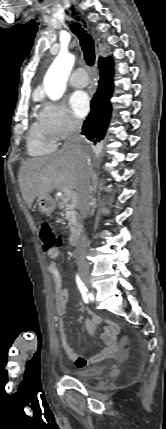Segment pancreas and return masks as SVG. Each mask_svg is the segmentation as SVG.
Returning <instances> with one entry per match:
<instances>
[{
    "label": "pancreas",
    "mask_w": 166,
    "mask_h": 429,
    "mask_svg": "<svg viewBox=\"0 0 166 429\" xmlns=\"http://www.w3.org/2000/svg\"><path fill=\"white\" fill-rule=\"evenodd\" d=\"M68 201L69 200H66L65 198L63 199V202L65 204V210L64 211L66 213V217L65 218L68 220L69 226H70V230L72 232V231L75 230V228L77 226V224H76V212H75V210L73 208H71L67 204Z\"/></svg>",
    "instance_id": "cf45deb5"
}]
</instances>
